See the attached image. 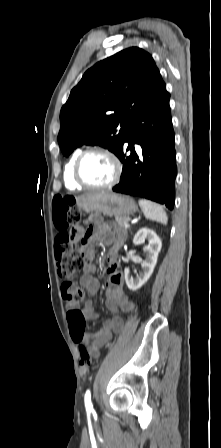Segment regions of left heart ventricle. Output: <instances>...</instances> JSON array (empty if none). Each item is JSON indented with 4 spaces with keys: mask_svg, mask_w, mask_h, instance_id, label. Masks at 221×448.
Returning a JSON list of instances; mask_svg holds the SVG:
<instances>
[{
    "mask_svg": "<svg viewBox=\"0 0 221 448\" xmlns=\"http://www.w3.org/2000/svg\"><path fill=\"white\" fill-rule=\"evenodd\" d=\"M81 174L88 183L103 185L113 178V164L107 156L94 153L83 161Z\"/></svg>",
    "mask_w": 221,
    "mask_h": 448,
    "instance_id": "obj_1",
    "label": "left heart ventricle"
}]
</instances>
